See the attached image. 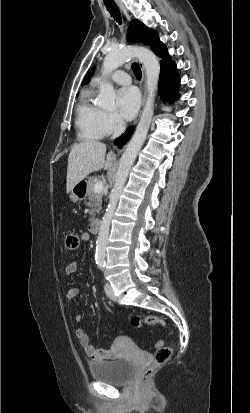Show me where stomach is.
<instances>
[{"label":"stomach","instance_id":"1","mask_svg":"<svg viewBox=\"0 0 250 413\" xmlns=\"http://www.w3.org/2000/svg\"><path fill=\"white\" fill-rule=\"evenodd\" d=\"M86 187L87 183L84 180L76 184L72 191L69 193L70 200L74 203L81 201L85 196Z\"/></svg>","mask_w":250,"mask_h":413}]
</instances>
